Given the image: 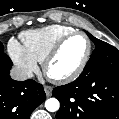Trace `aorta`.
Masks as SVG:
<instances>
[{"instance_id":"762f6f07","label":"aorta","mask_w":119,"mask_h":119,"mask_svg":"<svg viewBox=\"0 0 119 119\" xmlns=\"http://www.w3.org/2000/svg\"><path fill=\"white\" fill-rule=\"evenodd\" d=\"M45 107L49 112H56L60 107V103L56 98H49L45 102Z\"/></svg>"}]
</instances>
